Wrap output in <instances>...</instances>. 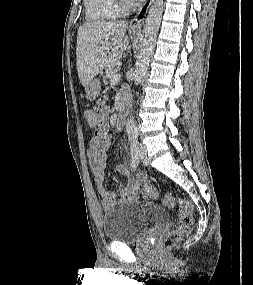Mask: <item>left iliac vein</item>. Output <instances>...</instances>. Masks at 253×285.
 <instances>
[{"label": "left iliac vein", "instance_id": "1", "mask_svg": "<svg viewBox=\"0 0 253 285\" xmlns=\"http://www.w3.org/2000/svg\"><path fill=\"white\" fill-rule=\"evenodd\" d=\"M137 154H138V158L139 160L144 164V165H148L149 164V160L147 157V151H146V147L139 143L137 145Z\"/></svg>", "mask_w": 253, "mask_h": 285}]
</instances>
